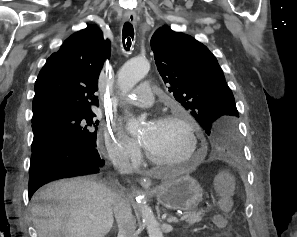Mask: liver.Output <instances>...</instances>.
Here are the masks:
<instances>
[{"instance_id":"1","label":"liver","mask_w":297,"mask_h":237,"mask_svg":"<svg viewBox=\"0 0 297 237\" xmlns=\"http://www.w3.org/2000/svg\"><path fill=\"white\" fill-rule=\"evenodd\" d=\"M115 195L106 185L86 177L48 184L32 197L38 237H104L113 226Z\"/></svg>"}]
</instances>
